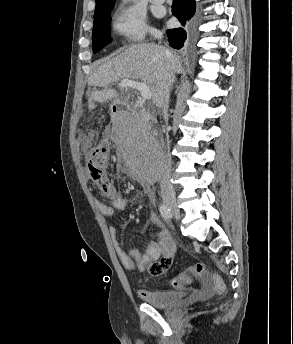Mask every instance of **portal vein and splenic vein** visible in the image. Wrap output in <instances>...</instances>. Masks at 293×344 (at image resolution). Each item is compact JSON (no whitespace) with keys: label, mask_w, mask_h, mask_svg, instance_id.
I'll return each instance as SVG.
<instances>
[{"label":"portal vein and splenic vein","mask_w":293,"mask_h":344,"mask_svg":"<svg viewBox=\"0 0 293 344\" xmlns=\"http://www.w3.org/2000/svg\"><path fill=\"white\" fill-rule=\"evenodd\" d=\"M120 86L137 89L140 92V95H141L143 100H148L151 98L150 88L143 82L129 80V79H123L120 82Z\"/></svg>","instance_id":"portal-vein-and-splenic-vein-1"}]
</instances>
